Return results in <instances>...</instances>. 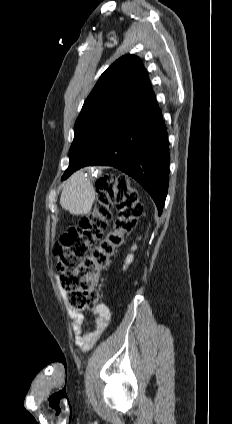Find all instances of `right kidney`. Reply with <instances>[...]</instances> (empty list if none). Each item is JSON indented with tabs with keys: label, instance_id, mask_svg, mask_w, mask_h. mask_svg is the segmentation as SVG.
Returning a JSON list of instances; mask_svg holds the SVG:
<instances>
[{
	"label": "right kidney",
	"instance_id": "ca27d5eb",
	"mask_svg": "<svg viewBox=\"0 0 232 424\" xmlns=\"http://www.w3.org/2000/svg\"><path fill=\"white\" fill-rule=\"evenodd\" d=\"M137 247L136 245H134L132 247V250H135ZM133 261V255L129 254L125 260V265L123 266V270H126V267H128V265Z\"/></svg>",
	"mask_w": 232,
	"mask_h": 424
}]
</instances>
